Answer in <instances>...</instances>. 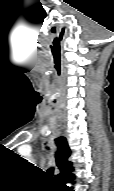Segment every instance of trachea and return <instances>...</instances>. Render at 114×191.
I'll return each mask as SVG.
<instances>
[{"instance_id": "trachea-1", "label": "trachea", "mask_w": 114, "mask_h": 191, "mask_svg": "<svg viewBox=\"0 0 114 191\" xmlns=\"http://www.w3.org/2000/svg\"><path fill=\"white\" fill-rule=\"evenodd\" d=\"M48 173H49L50 175H52V174H53V168H49V169H48Z\"/></svg>"}]
</instances>
